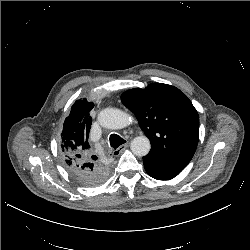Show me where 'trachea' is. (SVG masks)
Wrapping results in <instances>:
<instances>
[{
    "label": "trachea",
    "instance_id": "trachea-1",
    "mask_svg": "<svg viewBox=\"0 0 250 250\" xmlns=\"http://www.w3.org/2000/svg\"><path fill=\"white\" fill-rule=\"evenodd\" d=\"M126 141L117 134L110 135V145L112 148L116 149L120 145L124 144Z\"/></svg>",
    "mask_w": 250,
    "mask_h": 250
}]
</instances>
